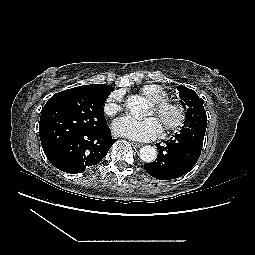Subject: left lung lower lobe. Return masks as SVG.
Listing matches in <instances>:
<instances>
[{"label":"left lung lower lobe","mask_w":255,"mask_h":255,"mask_svg":"<svg viewBox=\"0 0 255 255\" xmlns=\"http://www.w3.org/2000/svg\"><path fill=\"white\" fill-rule=\"evenodd\" d=\"M205 125L194 126L184 135L176 134L173 139L156 144L159 150L156 161L144 164L149 175L159 180H171L183 176L196 164L200 157Z\"/></svg>","instance_id":"0a47b994"}]
</instances>
